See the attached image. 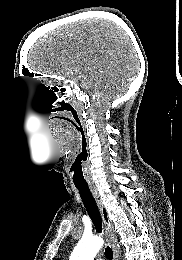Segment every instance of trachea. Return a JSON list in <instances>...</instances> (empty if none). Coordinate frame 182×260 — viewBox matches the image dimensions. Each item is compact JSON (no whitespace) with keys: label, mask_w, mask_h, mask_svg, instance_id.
Returning a JSON list of instances; mask_svg holds the SVG:
<instances>
[{"label":"trachea","mask_w":182,"mask_h":260,"mask_svg":"<svg viewBox=\"0 0 182 260\" xmlns=\"http://www.w3.org/2000/svg\"><path fill=\"white\" fill-rule=\"evenodd\" d=\"M76 188L78 189L82 202L97 230L98 233L102 232V219L98 210V207L96 205V202L89 190L88 187H79L76 186ZM105 256L108 260H112L113 259V251L112 249L107 246L105 248Z\"/></svg>","instance_id":"trachea-1"}]
</instances>
